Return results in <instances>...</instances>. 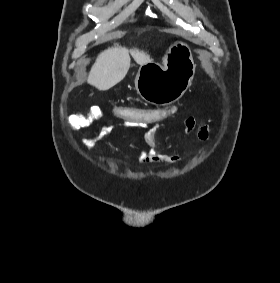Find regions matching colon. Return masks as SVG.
<instances>
[{
    "instance_id": "1",
    "label": "colon",
    "mask_w": 280,
    "mask_h": 283,
    "mask_svg": "<svg viewBox=\"0 0 280 283\" xmlns=\"http://www.w3.org/2000/svg\"><path fill=\"white\" fill-rule=\"evenodd\" d=\"M113 119L120 122H140L143 125H155L156 122H165L166 119H173L182 112V107H176L175 103L168 104L167 107H141L140 105H112Z\"/></svg>"
}]
</instances>
